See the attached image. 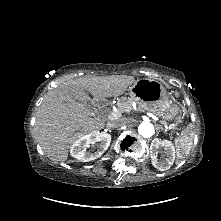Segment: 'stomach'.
I'll list each match as a JSON object with an SVG mask.
<instances>
[{
    "label": "stomach",
    "instance_id": "0dacf381",
    "mask_svg": "<svg viewBox=\"0 0 221 221\" xmlns=\"http://www.w3.org/2000/svg\"><path fill=\"white\" fill-rule=\"evenodd\" d=\"M130 98L144 110L153 112L167 120L179 122L181 109L170 100L164 86L153 79H138L129 87Z\"/></svg>",
    "mask_w": 221,
    "mask_h": 221
}]
</instances>
